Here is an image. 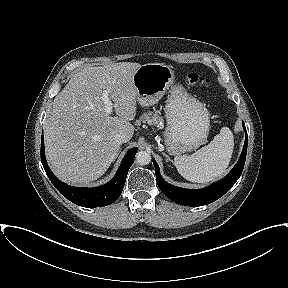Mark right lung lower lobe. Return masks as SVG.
Listing matches in <instances>:
<instances>
[{
	"label": "right lung lower lobe",
	"instance_id": "1",
	"mask_svg": "<svg viewBox=\"0 0 288 288\" xmlns=\"http://www.w3.org/2000/svg\"><path fill=\"white\" fill-rule=\"evenodd\" d=\"M137 151V148H132L127 152L114 178L107 184L94 188H78L62 183L51 172L45 158L43 134L41 138V162L50 181L65 198L87 208L106 206L116 201L123 190L128 170Z\"/></svg>",
	"mask_w": 288,
	"mask_h": 288
}]
</instances>
